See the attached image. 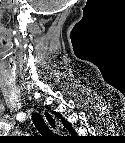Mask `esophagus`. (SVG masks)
I'll use <instances>...</instances> for the list:
<instances>
[{
	"instance_id": "esophagus-1",
	"label": "esophagus",
	"mask_w": 125,
	"mask_h": 143,
	"mask_svg": "<svg viewBox=\"0 0 125 143\" xmlns=\"http://www.w3.org/2000/svg\"><path fill=\"white\" fill-rule=\"evenodd\" d=\"M42 115L49 128L54 132L58 131V124L54 115H52L49 111H43Z\"/></svg>"
}]
</instances>
